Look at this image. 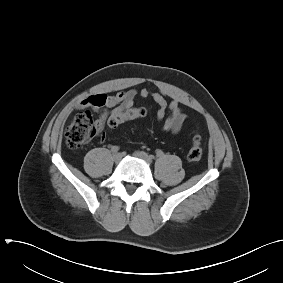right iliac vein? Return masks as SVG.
<instances>
[{
	"label": "right iliac vein",
	"instance_id": "obj_1",
	"mask_svg": "<svg viewBox=\"0 0 283 283\" xmlns=\"http://www.w3.org/2000/svg\"><path fill=\"white\" fill-rule=\"evenodd\" d=\"M121 159H122V154L116 153V154L113 155V161L115 163H119Z\"/></svg>",
	"mask_w": 283,
	"mask_h": 283
}]
</instances>
